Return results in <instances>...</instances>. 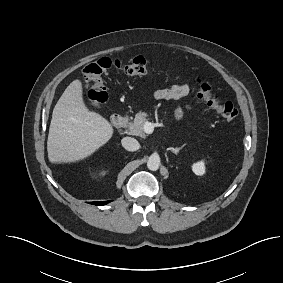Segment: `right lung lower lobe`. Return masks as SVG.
I'll return each instance as SVG.
<instances>
[{"mask_svg":"<svg viewBox=\"0 0 283 283\" xmlns=\"http://www.w3.org/2000/svg\"><path fill=\"white\" fill-rule=\"evenodd\" d=\"M109 202H111V201L92 202V204H94V205H105V204H107Z\"/></svg>","mask_w":283,"mask_h":283,"instance_id":"obj_1","label":"right lung lower lobe"}]
</instances>
